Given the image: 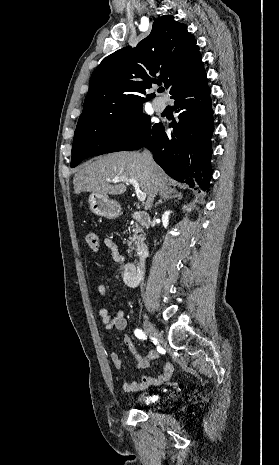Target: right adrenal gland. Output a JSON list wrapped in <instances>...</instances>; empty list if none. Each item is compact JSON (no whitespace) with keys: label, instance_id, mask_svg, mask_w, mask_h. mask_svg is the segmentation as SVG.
Returning <instances> with one entry per match:
<instances>
[{"label":"right adrenal gland","instance_id":"right-adrenal-gland-1","mask_svg":"<svg viewBox=\"0 0 279 465\" xmlns=\"http://www.w3.org/2000/svg\"><path fill=\"white\" fill-rule=\"evenodd\" d=\"M173 198L182 199V198H183V196H182V194H181V193L174 192V194H173V195H171V196H167V197H165V198H163V199H160L158 202H156V204H155V206H154V207H157L158 205H160V204H162V203L166 202V201H167V200H169V199H173Z\"/></svg>","mask_w":279,"mask_h":465}]
</instances>
